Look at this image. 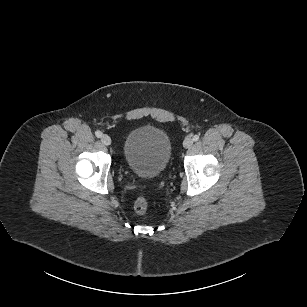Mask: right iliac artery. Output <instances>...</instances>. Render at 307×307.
<instances>
[{
  "instance_id": "1",
  "label": "right iliac artery",
  "mask_w": 307,
  "mask_h": 307,
  "mask_svg": "<svg viewBox=\"0 0 307 307\" xmlns=\"http://www.w3.org/2000/svg\"><path fill=\"white\" fill-rule=\"evenodd\" d=\"M96 137L100 138L102 136V133L98 130L95 132Z\"/></svg>"
}]
</instances>
